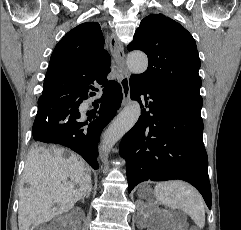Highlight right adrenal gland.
Returning a JSON list of instances; mask_svg holds the SVG:
<instances>
[{
    "instance_id": "1",
    "label": "right adrenal gland",
    "mask_w": 241,
    "mask_h": 230,
    "mask_svg": "<svg viewBox=\"0 0 241 230\" xmlns=\"http://www.w3.org/2000/svg\"><path fill=\"white\" fill-rule=\"evenodd\" d=\"M91 190H92V186L90 185V187H89L87 193L82 197V201H84V198H85V197H86V198H89L90 193H91Z\"/></svg>"
}]
</instances>
